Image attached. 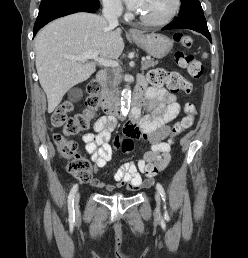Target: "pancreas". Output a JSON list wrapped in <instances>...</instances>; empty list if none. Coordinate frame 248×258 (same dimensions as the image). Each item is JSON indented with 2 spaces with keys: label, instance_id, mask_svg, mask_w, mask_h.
Here are the masks:
<instances>
[{
  "label": "pancreas",
  "instance_id": "obj_1",
  "mask_svg": "<svg viewBox=\"0 0 248 258\" xmlns=\"http://www.w3.org/2000/svg\"><path fill=\"white\" fill-rule=\"evenodd\" d=\"M157 64L154 60H147L142 62V69L146 70L148 68L154 67ZM122 75L119 70H115L114 74L109 77L104 87L108 92L118 93V85L121 81Z\"/></svg>",
  "mask_w": 248,
  "mask_h": 258
}]
</instances>
